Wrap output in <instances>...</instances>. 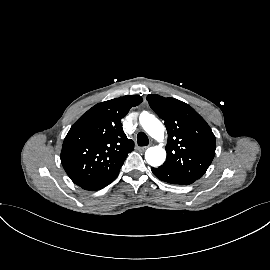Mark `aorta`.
I'll use <instances>...</instances> for the list:
<instances>
[{
	"instance_id": "1",
	"label": "aorta",
	"mask_w": 270,
	"mask_h": 270,
	"mask_svg": "<svg viewBox=\"0 0 270 270\" xmlns=\"http://www.w3.org/2000/svg\"><path fill=\"white\" fill-rule=\"evenodd\" d=\"M140 123L143 129L154 139L163 141L164 126L160 120L151 114H141ZM145 159L153 167L162 165L166 159V151L162 146H153L146 150Z\"/></svg>"
}]
</instances>
